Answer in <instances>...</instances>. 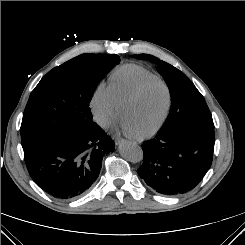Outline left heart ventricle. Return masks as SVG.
Listing matches in <instances>:
<instances>
[{
  "label": "left heart ventricle",
  "instance_id": "1",
  "mask_svg": "<svg viewBox=\"0 0 245 245\" xmlns=\"http://www.w3.org/2000/svg\"><path fill=\"white\" fill-rule=\"evenodd\" d=\"M166 105V91L158 82L148 84L134 101L126 104L122 117L136 133H143L154 127L163 115Z\"/></svg>",
  "mask_w": 245,
  "mask_h": 245
}]
</instances>
